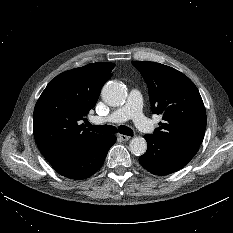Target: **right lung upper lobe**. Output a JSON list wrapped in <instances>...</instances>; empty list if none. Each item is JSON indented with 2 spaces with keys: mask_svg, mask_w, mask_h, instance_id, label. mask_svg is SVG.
<instances>
[{
  "mask_svg": "<svg viewBox=\"0 0 233 233\" xmlns=\"http://www.w3.org/2000/svg\"><path fill=\"white\" fill-rule=\"evenodd\" d=\"M114 67L91 63L63 72L47 85L34 108L33 131L48 162L67 159L104 136L89 132L79 122L95 106Z\"/></svg>",
  "mask_w": 233,
  "mask_h": 233,
  "instance_id": "right-lung-upper-lobe-1",
  "label": "right lung upper lobe"
}]
</instances>
